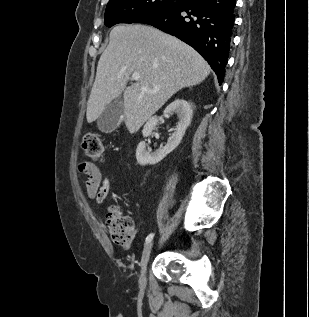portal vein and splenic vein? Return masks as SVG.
I'll use <instances>...</instances> for the list:
<instances>
[{
    "label": "portal vein and splenic vein",
    "mask_w": 309,
    "mask_h": 317,
    "mask_svg": "<svg viewBox=\"0 0 309 317\" xmlns=\"http://www.w3.org/2000/svg\"><path fill=\"white\" fill-rule=\"evenodd\" d=\"M132 79L135 80V81H137V80L140 79V75H139L138 73H133V74H132ZM141 89H142V91H144V92H152V93H155V92L158 91V89L150 90L149 88H147V87H145V86H143Z\"/></svg>",
    "instance_id": "obj_1"
}]
</instances>
